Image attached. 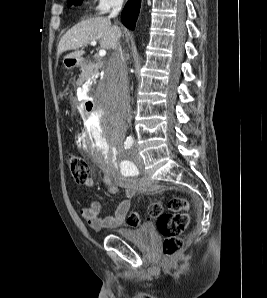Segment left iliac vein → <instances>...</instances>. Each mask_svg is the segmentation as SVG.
<instances>
[{"label":"left iliac vein","instance_id":"obj_1","mask_svg":"<svg viewBox=\"0 0 267 298\" xmlns=\"http://www.w3.org/2000/svg\"><path fill=\"white\" fill-rule=\"evenodd\" d=\"M132 153H133V157H134V159L136 160V162H138V163H142V159H141V157L138 155V152H137L136 144H135L134 147H133Z\"/></svg>","mask_w":267,"mask_h":298}]
</instances>
